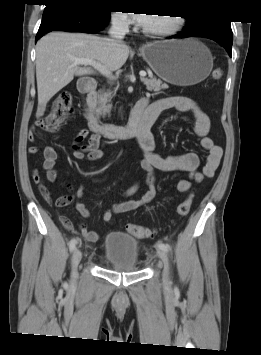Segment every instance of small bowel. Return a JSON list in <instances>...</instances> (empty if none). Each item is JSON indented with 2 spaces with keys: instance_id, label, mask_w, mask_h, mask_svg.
Segmentation results:
<instances>
[{
  "instance_id": "small-bowel-1",
  "label": "small bowel",
  "mask_w": 261,
  "mask_h": 355,
  "mask_svg": "<svg viewBox=\"0 0 261 355\" xmlns=\"http://www.w3.org/2000/svg\"><path fill=\"white\" fill-rule=\"evenodd\" d=\"M143 115L146 119L152 121V124L157 117L165 110L175 109L182 113H191L194 117V132L200 138L202 148L207 152L206 162L202 170H199V157L194 152H188L181 155L162 157L155 152V142L153 134L149 128L138 134L137 138L143 152V159L139 161L140 167L146 172L145 182L148 190L139 200L130 199L139 189V182L134 183L123 193L124 200L114 204L110 209L104 212L103 220L112 222L116 214L129 212L139 208L142 205L148 204L156 197L155 189V170L172 172L181 171L188 174L187 179H181L177 183V189L180 192H188L193 182H201L206 177H212L218 168L222 158V148L214 143L209 136L210 119L200 107L190 98L184 96H170L155 101L152 104L148 103L147 99H142ZM136 108V107H135ZM134 108V109H135ZM34 139V134H29V140ZM87 143L84 144V141ZM103 142L99 134L89 135L87 128H82L72 142V155L78 160L96 161L103 157L102 151ZM39 148L31 146L28 153L31 155L37 154ZM44 161L42 168L46 172V178L51 183L59 181V173L55 168L57 160V152L52 146H46L43 149ZM32 180L38 185L42 197L56 208H63L72 203L75 204L76 210L85 219L90 218V211L85 204L80 202L83 196L84 188L80 186L74 189L71 184L64 183L65 187L70 191L69 194L53 199L50 190L44 184L43 179L37 169L32 172ZM59 220L67 231H80L84 239L88 242H97L99 234L96 231L88 230L84 224L78 227L64 215H59Z\"/></svg>"
}]
</instances>
